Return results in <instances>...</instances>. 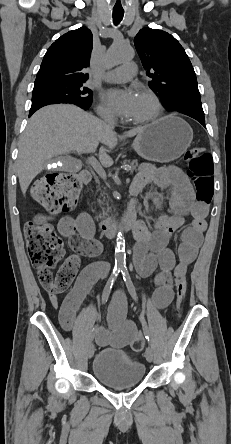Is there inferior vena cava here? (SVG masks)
<instances>
[{"label":"inferior vena cava","instance_id":"602c4592","mask_svg":"<svg viewBox=\"0 0 231 444\" xmlns=\"http://www.w3.org/2000/svg\"><path fill=\"white\" fill-rule=\"evenodd\" d=\"M102 118L104 119L108 128H110V129L114 128L115 122H114L113 118H111L110 116H107V115H102Z\"/></svg>","mask_w":231,"mask_h":444}]
</instances>
